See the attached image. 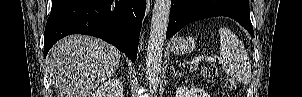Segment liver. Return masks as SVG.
Instances as JSON below:
<instances>
[{"label":"liver","instance_id":"1","mask_svg":"<svg viewBox=\"0 0 302 97\" xmlns=\"http://www.w3.org/2000/svg\"><path fill=\"white\" fill-rule=\"evenodd\" d=\"M120 51L101 39L71 35L58 41L46 58L58 97H88L118 68Z\"/></svg>","mask_w":302,"mask_h":97}]
</instances>
